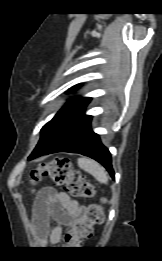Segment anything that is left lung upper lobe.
Instances as JSON below:
<instances>
[{"label": "left lung upper lobe", "instance_id": "obj_1", "mask_svg": "<svg viewBox=\"0 0 162 261\" xmlns=\"http://www.w3.org/2000/svg\"><path fill=\"white\" fill-rule=\"evenodd\" d=\"M75 85L71 89L79 87ZM91 101L89 97H79L70 99L41 129V138L29 156V160L44 155L48 150L55 146L64 137L75 129L90 121L92 116L85 115L84 110Z\"/></svg>", "mask_w": 162, "mask_h": 261}]
</instances>
